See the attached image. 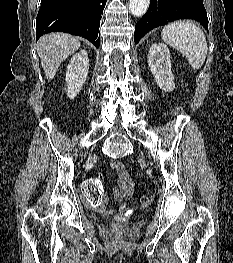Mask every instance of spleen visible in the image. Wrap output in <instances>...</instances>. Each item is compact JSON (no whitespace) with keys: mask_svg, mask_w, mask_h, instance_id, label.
Returning a JSON list of instances; mask_svg holds the SVG:
<instances>
[{"mask_svg":"<svg viewBox=\"0 0 233 263\" xmlns=\"http://www.w3.org/2000/svg\"><path fill=\"white\" fill-rule=\"evenodd\" d=\"M165 43L186 56L193 69H200L206 59L208 46L206 37L191 21H176L165 26L161 33Z\"/></svg>","mask_w":233,"mask_h":263,"instance_id":"3e777b00","label":"spleen"}]
</instances>
